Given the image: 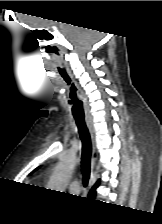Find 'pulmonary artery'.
Segmentation results:
<instances>
[{"mask_svg":"<svg viewBox=\"0 0 162 224\" xmlns=\"http://www.w3.org/2000/svg\"><path fill=\"white\" fill-rule=\"evenodd\" d=\"M81 189V181L79 179H73L71 180L70 184H69V190L72 193H78Z\"/></svg>","mask_w":162,"mask_h":224,"instance_id":"obj_1","label":"pulmonary artery"}]
</instances>
